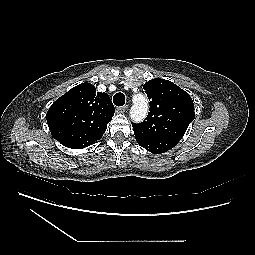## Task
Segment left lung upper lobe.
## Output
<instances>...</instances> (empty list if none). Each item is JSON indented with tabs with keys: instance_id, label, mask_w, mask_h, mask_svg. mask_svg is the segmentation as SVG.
<instances>
[{
	"instance_id": "left-lung-upper-lobe-1",
	"label": "left lung upper lobe",
	"mask_w": 255,
	"mask_h": 255,
	"mask_svg": "<svg viewBox=\"0 0 255 255\" xmlns=\"http://www.w3.org/2000/svg\"><path fill=\"white\" fill-rule=\"evenodd\" d=\"M150 100V112L139 124H132L136 139L181 140L188 125L195 118L190 95L174 83L152 79L144 84Z\"/></svg>"
}]
</instances>
